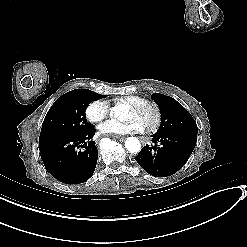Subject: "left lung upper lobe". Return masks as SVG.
Returning a JSON list of instances; mask_svg holds the SVG:
<instances>
[{"label": "left lung upper lobe", "instance_id": "5c2ea615", "mask_svg": "<svg viewBox=\"0 0 247 247\" xmlns=\"http://www.w3.org/2000/svg\"><path fill=\"white\" fill-rule=\"evenodd\" d=\"M152 99L161 112V125L157 134H189L197 136L198 129L191 114L172 97L153 93Z\"/></svg>", "mask_w": 247, "mask_h": 247}]
</instances>
